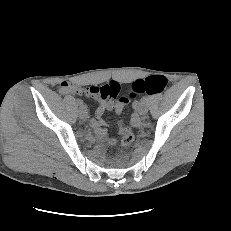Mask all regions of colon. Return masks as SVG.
Returning <instances> with one entry per match:
<instances>
[{"label":"colon","mask_w":231,"mask_h":231,"mask_svg":"<svg viewBox=\"0 0 231 231\" xmlns=\"http://www.w3.org/2000/svg\"><path fill=\"white\" fill-rule=\"evenodd\" d=\"M167 85L166 77L162 75H152L144 79H137L130 85L121 88V86L112 82L103 87L104 97H110L116 99L121 91H123L127 98H134L139 94H160ZM134 140V134L128 126H124L121 132V138L119 141V147H128Z\"/></svg>","instance_id":"1"}]
</instances>
